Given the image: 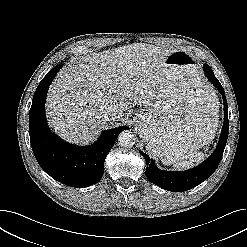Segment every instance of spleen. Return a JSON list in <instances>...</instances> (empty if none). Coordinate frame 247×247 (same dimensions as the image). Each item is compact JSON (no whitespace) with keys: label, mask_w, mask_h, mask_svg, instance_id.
<instances>
[{"label":"spleen","mask_w":247,"mask_h":247,"mask_svg":"<svg viewBox=\"0 0 247 247\" xmlns=\"http://www.w3.org/2000/svg\"><path fill=\"white\" fill-rule=\"evenodd\" d=\"M209 141H207L205 144H208ZM203 159H204V153L195 152V153L191 154V156H190L188 161H177L174 164V166L177 169H189V168L193 167L195 164L200 163ZM165 165H168V164H165Z\"/></svg>","instance_id":"1"}]
</instances>
